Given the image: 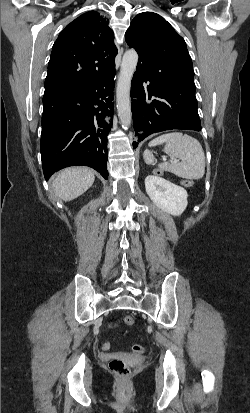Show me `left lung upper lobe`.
<instances>
[{
    "label": "left lung upper lobe",
    "mask_w": 250,
    "mask_h": 413,
    "mask_svg": "<svg viewBox=\"0 0 250 413\" xmlns=\"http://www.w3.org/2000/svg\"><path fill=\"white\" fill-rule=\"evenodd\" d=\"M125 40L139 54L137 67L149 75L157 79L171 77L179 83L194 82L192 60L184 39L160 15L138 14L126 31Z\"/></svg>",
    "instance_id": "5c2ea615"
}]
</instances>
